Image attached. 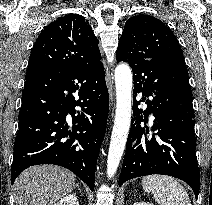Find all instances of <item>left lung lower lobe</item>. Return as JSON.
Returning <instances> with one entry per match:
<instances>
[{
    "label": "left lung lower lobe",
    "mask_w": 212,
    "mask_h": 205,
    "mask_svg": "<svg viewBox=\"0 0 212 205\" xmlns=\"http://www.w3.org/2000/svg\"><path fill=\"white\" fill-rule=\"evenodd\" d=\"M131 68L134 118L119 186L135 177L163 174L185 181L197 198L200 178L192 92L186 66L169 59L151 58L141 59ZM139 93L147 104L144 111L138 109L140 102L136 101V96ZM150 114L155 119L149 129Z\"/></svg>",
    "instance_id": "1"
}]
</instances>
